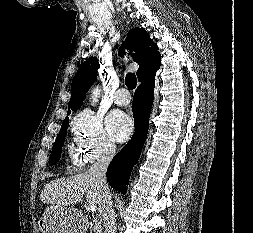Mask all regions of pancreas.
<instances>
[{
	"instance_id": "cf45deb5",
	"label": "pancreas",
	"mask_w": 253,
	"mask_h": 233,
	"mask_svg": "<svg viewBox=\"0 0 253 233\" xmlns=\"http://www.w3.org/2000/svg\"><path fill=\"white\" fill-rule=\"evenodd\" d=\"M90 233H102L101 224L95 220L93 223H90V226L87 227Z\"/></svg>"
}]
</instances>
